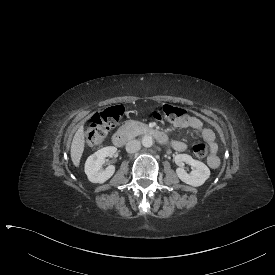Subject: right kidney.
I'll return each mask as SVG.
<instances>
[{"label": "right kidney", "instance_id": "obj_1", "mask_svg": "<svg viewBox=\"0 0 275 275\" xmlns=\"http://www.w3.org/2000/svg\"><path fill=\"white\" fill-rule=\"evenodd\" d=\"M116 151V147L109 146L104 147L89 156L85 164V174L91 182L103 184L114 175L116 165L108 166L105 171H102V165L105 162V158H112Z\"/></svg>", "mask_w": 275, "mask_h": 275}]
</instances>
